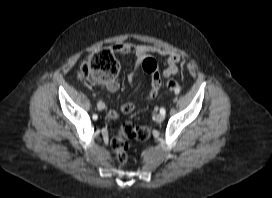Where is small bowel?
Masks as SVG:
<instances>
[{
    "instance_id": "1",
    "label": "small bowel",
    "mask_w": 272,
    "mask_h": 198,
    "mask_svg": "<svg viewBox=\"0 0 272 198\" xmlns=\"http://www.w3.org/2000/svg\"><path fill=\"white\" fill-rule=\"evenodd\" d=\"M115 50L120 55L127 54L134 55V69L127 76V82L129 85L134 84L137 78V72L141 62L151 55H160L165 58L164 68L162 71V75L164 77L177 76L179 73V64L181 62V56L177 53L167 51L166 49L145 44L132 45L129 43H120L115 46ZM149 75L151 77V87L148 94L145 97L146 100H151L152 98H154L161 86V75L158 70L152 71ZM105 86L111 92H116L119 89V83L116 80L108 82L107 84H105ZM99 103L98 106L105 107L104 103L102 105H99ZM135 107H136L135 102L128 101L122 104L120 111L123 114H129L135 109ZM107 116L109 119L115 120L119 117V113L116 110H110Z\"/></svg>"
}]
</instances>
